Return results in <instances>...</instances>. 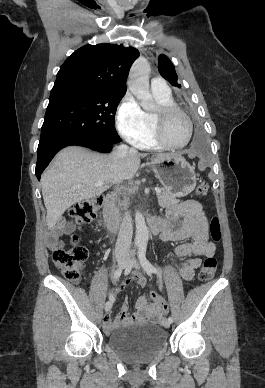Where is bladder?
Instances as JSON below:
<instances>
[{"label":"bladder","instance_id":"obj_1","mask_svg":"<svg viewBox=\"0 0 265 388\" xmlns=\"http://www.w3.org/2000/svg\"><path fill=\"white\" fill-rule=\"evenodd\" d=\"M166 331L155 323L135 324L109 334L107 346L130 361H145L166 345Z\"/></svg>","mask_w":265,"mask_h":388}]
</instances>
